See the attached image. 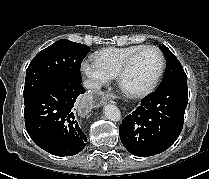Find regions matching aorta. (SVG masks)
<instances>
[{
	"label": "aorta",
	"mask_w": 209,
	"mask_h": 179,
	"mask_svg": "<svg viewBox=\"0 0 209 179\" xmlns=\"http://www.w3.org/2000/svg\"><path fill=\"white\" fill-rule=\"evenodd\" d=\"M104 115L107 119L117 122L121 119L120 110L113 104H107L104 106Z\"/></svg>",
	"instance_id": "obj_1"
}]
</instances>
